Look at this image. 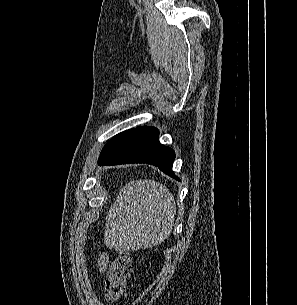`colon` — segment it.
<instances>
[{
    "mask_svg": "<svg viewBox=\"0 0 297 305\" xmlns=\"http://www.w3.org/2000/svg\"><path fill=\"white\" fill-rule=\"evenodd\" d=\"M133 272V259L128 252H120L113 259L103 290L105 299L111 303L118 301L125 293L127 280Z\"/></svg>",
    "mask_w": 297,
    "mask_h": 305,
    "instance_id": "5ec220e1",
    "label": "colon"
}]
</instances>
